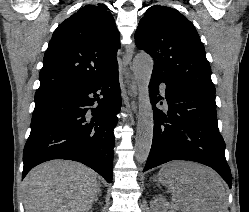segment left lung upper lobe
<instances>
[{
  "instance_id": "left-lung-upper-lobe-1",
  "label": "left lung upper lobe",
  "mask_w": 249,
  "mask_h": 212,
  "mask_svg": "<svg viewBox=\"0 0 249 212\" xmlns=\"http://www.w3.org/2000/svg\"><path fill=\"white\" fill-rule=\"evenodd\" d=\"M136 46L154 60V72L215 93L204 46L193 24L177 10L155 5L139 22Z\"/></svg>"
}]
</instances>
